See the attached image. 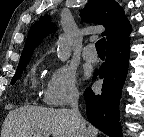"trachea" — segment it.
Wrapping results in <instances>:
<instances>
[{"mask_svg": "<svg viewBox=\"0 0 144 137\" xmlns=\"http://www.w3.org/2000/svg\"><path fill=\"white\" fill-rule=\"evenodd\" d=\"M97 53L105 54V38H102L96 42Z\"/></svg>", "mask_w": 144, "mask_h": 137, "instance_id": "1", "label": "trachea"}]
</instances>
